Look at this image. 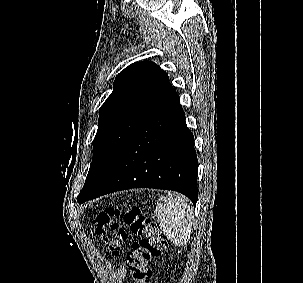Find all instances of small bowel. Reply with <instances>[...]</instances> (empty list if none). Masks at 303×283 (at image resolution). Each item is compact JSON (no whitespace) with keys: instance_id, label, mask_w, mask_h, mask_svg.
Returning <instances> with one entry per match:
<instances>
[{"instance_id":"1","label":"small bowel","mask_w":303,"mask_h":283,"mask_svg":"<svg viewBox=\"0 0 303 283\" xmlns=\"http://www.w3.org/2000/svg\"><path fill=\"white\" fill-rule=\"evenodd\" d=\"M117 276L119 279L123 280L126 277V270L124 267H120L117 271Z\"/></svg>"}]
</instances>
